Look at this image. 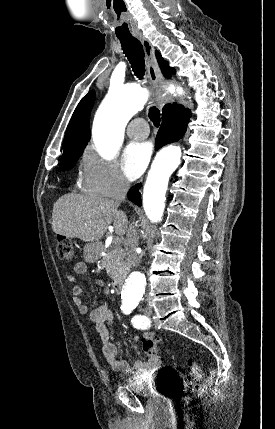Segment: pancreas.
<instances>
[{
    "mask_svg": "<svg viewBox=\"0 0 275 429\" xmlns=\"http://www.w3.org/2000/svg\"><path fill=\"white\" fill-rule=\"evenodd\" d=\"M119 243L110 247L106 251L105 255L101 257V266L107 270L108 275L113 279L124 272V267L121 261L123 252L119 247Z\"/></svg>",
    "mask_w": 275,
    "mask_h": 429,
    "instance_id": "pancreas-1",
    "label": "pancreas"
}]
</instances>
